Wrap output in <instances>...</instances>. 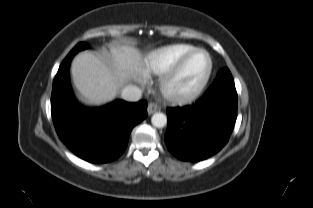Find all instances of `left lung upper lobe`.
Wrapping results in <instances>:
<instances>
[{"mask_svg": "<svg viewBox=\"0 0 313 208\" xmlns=\"http://www.w3.org/2000/svg\"><path fill=\"white\" fill-rule=\"evenodd\" d=\"M217 78H223V79L234 82L233 77L227 68L221 69L217 74Z\"/></svg>", "mask_w": 313, "mask_h": 208, "instance_id": "1", "label": "left lung upper lobe"}]
</instances>
